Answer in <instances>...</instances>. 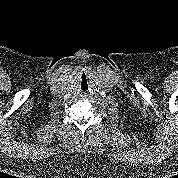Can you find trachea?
Returning a JSON list of instances; mask_svg holds the SVG:
<instances>
[{"instance_id": "obj_1", "label": "trachea", "mask_w": 178, "mask_h": 178, "mask_svg": "<svg viewBox=\"0 0 178 178\" xmlns=\"http://www.w3.org/2000/svg\"><path fill=\"white\" fill-rule=\"evenodd\" d=\"M78 86L80 90L82 91H87L89 88V82L86 76H82L81 79L79 80Z\"/></svg>"}]
</instances>
